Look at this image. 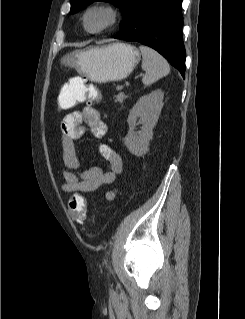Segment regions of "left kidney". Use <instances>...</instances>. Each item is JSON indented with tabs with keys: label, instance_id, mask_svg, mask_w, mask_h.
<instances>
[{
	"label": "left kidney",
	"instance_id": "1",
	"mask_svg": "<svg viewBox=\"0 0 245 319\" xmlns=\"http://www.w3.org/2000/svg\"><path fill=\"white\" fill-rule=\"evenodd\" d=\"M164 92L160 89L140 97L130 110L127 122L130 133L125 137L124 143L129 152L135 156H143L148 151L149 142L153 137L155 127L163 107ZM139 118V121H137ZM142 124L140 131L136 126Z\"/></svg>",
	"mask_w": 245,
	"mask_h": 319
}]
</instances>
